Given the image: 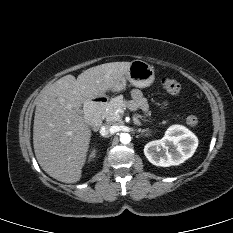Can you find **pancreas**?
<instances>
[{
	"mask_svg": "<svg viewBox=\"0 0 233 233\" xmlns=\"http://www.w3.org/2000/svg\"><path fill=\"white\" fill-rule=\"evenodd\" d=\"M126 107V102L123 99V96H117L113 98L106 107V110L103 111L102 117L106 119L109 123H115L121 121L120 113H116L117 110H122ZM162 124H166V121H163Z\"/></svg>",
	"mask_w": 233,
	"mask_h": 233,
	"instance_id": "obj_1",
	"label": "pancreas"
}]
</instances>
